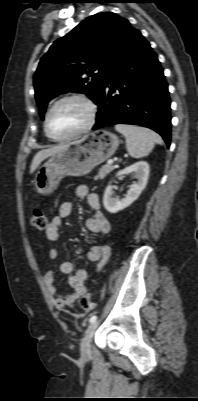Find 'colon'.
<instances>
[{
  "mask_svg": "<svg viewBox=\"0 0 198 401\" xmlns=\"http://www.w3.org/2000/svg\"><path fill=\"white\" fill-rule=\"evenodd\" d=\"M30 224L36 229H46L48 226L47 215L41 208H35L30 215ZM80 305L85 312L90 311L93 306L92 294L84 295L80 300Z\"/></svg>",
  "mask_w": 198,
  "mask_h": 401,
  "instance_id": "5ec220e1",
  "label": "colon"
}]
</instances>
